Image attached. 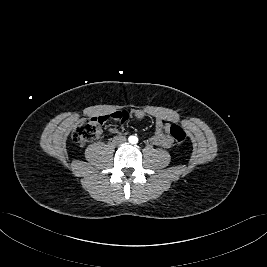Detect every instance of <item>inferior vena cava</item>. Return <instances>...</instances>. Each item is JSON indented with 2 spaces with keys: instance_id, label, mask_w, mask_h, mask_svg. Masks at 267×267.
I'll list each match as a JSON object with an SVG mask.
<instances>
[{
  "instance_id": "602c4592",
  "label": "inferior vena cava",
  "mask_w": 267,
  "mask_h": 267,
  "mask_svg": "<svg viewBox=\"0 0 267 267\" xmlns=\"http://www.w3.org/2000/svg\"><path fill=\"white\" fill-rule=\"evenodd\" d=\"M117 144H124L126 143V138L124 136H119L115 138Z\"/></svg>"
}]
</instances>
